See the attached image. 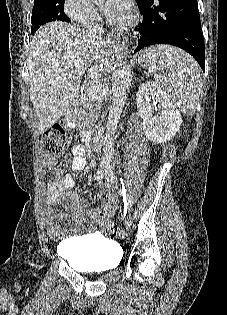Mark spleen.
<instances>
[{"instance_id":"obj_1","label":"spleen","mask_w":227,"mask_h":315,"mask_svg":"<svg viewBox=\"0 0 227 315\" xmlns=\"http://www.w3.org/2000/svg\"><path fill=\"white\" fill-rule=\"evenodd\" d=\"M143 68L153 73L168 99L185 115H193L203 88L201 70L196 61L171 46L143 50L139 57Z\"/></svg>"}]
</instances>
